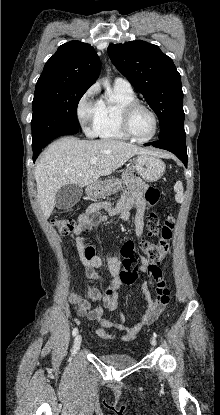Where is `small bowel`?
Returning a JSON list of instances; mask_svg holds the SVG:
<instances>
[{
    "label": "small bowel",
    "instance_id": "obj_1",
    "mask_svg": "<svg viewBox=\"0 0 220 415\" xmlns=\"http://www.w3.org/2000/svg\"><path fill=\"white\" fill-rule=\"evenodd\" d=\"M147 189L145 183L141 180L131 182L124 190L118 203L111 206L109 203H97L91 205L87 211L77 217V224L71 237L74 241L76 249L78 250L81 259L85 266V274L89 279L98 281L101 285L104 284L103 277L99 273V269H105L112 277L113 281L103 289L90 288L86 286H79L76 289H71L68 294L69 302L72 304L77 314L82 317H87L90 320L97 321L100 328L97 334L106 340H113L115 337L106 333V329H116L123 331L124 334L120 338L121 341L127 342L135 339L140 331L152 324L163 311L156 310L155 302L148 290L147 283L141 285V291L145 300V306L140 320L133 326H128L124 323L123 315H120L118 322L104 317V311H114L117 308L118 289L121 286L120 263L116 255L102 256L96 249L87 244L84 232L92 227H95L107 221V215H119L121 220L126 221L130 216V211L134 208V222L137 236L143 238L144 228V212L146 201L144 193ZM140 270L148 272L149 262L146 258H141ZM87 298L101 303L102 306L92 307Z\"/></svg>",
    "mask_w": 220,
    "mask_h": 415
}]
</instances>
